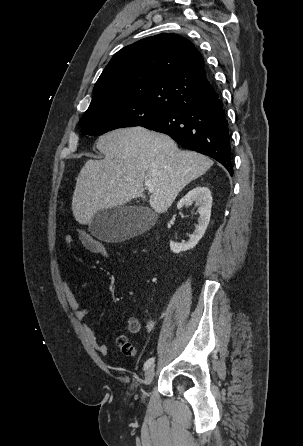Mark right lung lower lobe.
Returning <instances> with one entry per match:
<instances>
[{
  "label": "right lung lower lobe",
  "mask_w": 303,
  "mask_h": 446,
  "mask_svg": "<svg viewBox=\"0 0 303 446\" xmlns=\"http://www.w3.org/2000/svg\"><path fill=\"white\" fill-rule=\"evenodd\" d=\"M141 126L165 133L182 147L214 158L232 175L228 123L222 100L213 88L175 105Z\"/></svg>",
  "instance_id": "1"
}]
</instances>
